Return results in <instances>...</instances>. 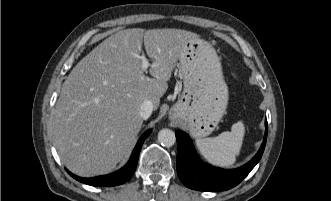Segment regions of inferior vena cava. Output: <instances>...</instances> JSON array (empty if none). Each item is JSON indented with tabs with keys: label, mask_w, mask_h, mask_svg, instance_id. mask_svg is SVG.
<instances>
[{
	"label": "inferior vena cava",
	"mask_w": 331,
	"mask_h": 201,
	"mask_svg": "<svg viewBox=\"0 0 331 201\" xmlns=\"http://www.w3.org/2000/svg\"><path fill=\"white\" fill-rule=\"evenodd\" d=\"M153 108V103L150 100H144L140 107V116L142 119H148L153 111Z\"/></svg>",
	"instance_id": "602c4592"
}]
</instances>
